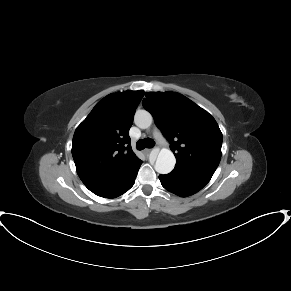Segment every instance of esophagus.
<instances>
[{
	"label": "esophagus",
	"mask_w": 291,
	"mask_h": 291,
	"mask_svg": "<svg viewBox=\"0 0 291 291\" xmlns=\"http://www.w3.org/2000/svg\"><path fill=\"white\" fill-rule=\"evenodd\" d=\"M150 152H151V149H144L143 150V153L146 154V155H148Z\"/></svg>",
	"instance_id": "obj_1"
}]
</instances>
